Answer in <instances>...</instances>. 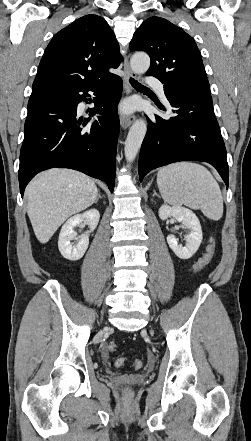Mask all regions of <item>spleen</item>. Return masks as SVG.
<instances>
[{"label": "spleen", "mask_w": 251, "mask_h": 441, "mask_svg": "<svg viewBox=\"0 0 251 441\" xmlns=\"http://www.w3.org/2000/svg\"><path fill=\"white\" fill-rule=\"evenodd\" d=\"M157 185L163 200L173 206L186 205L200 209L209 219L217 221L223 215L220 187L204 166L193 162H178L161 168Z\"/></svg>", "instance_id": "spleen-1"}]
</instances>
